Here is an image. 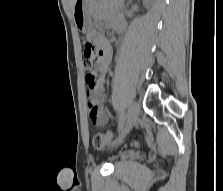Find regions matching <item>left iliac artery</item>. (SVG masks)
<instances>
[{
    "label": "left iliac artery",
    "instance_id": "left-iliac-artery-1",
    "mask_svg": "<svg viewBox=\"0 0 223 191\" xmlns=\"http://www.w3.org/2000/svg\"><path fill=\"white\" fill-rule=\"evenodd\" d=\"M126 120V113H125V106L123 105L122 108L120 109V113L118 116V127L117 130H121L125 124Z\"/></svg>",
    "mask_w": 223,
    "mask_h": 191
}]
</instances>
